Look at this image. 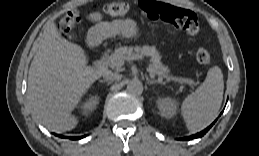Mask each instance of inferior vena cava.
I'll list each match as a JSON object with an SVG mask.
<instances>
[{
    "label": "inferior vena cava",
    "instance_id": "obj_1",
    "mask_svg": "<svg viewBox=\"0 0 259 156\" xmlns=\"http://www.w3.org/2000/svg\"><path fill=\"white\" fill-rule=\"evenodd\" d=\"M103 77L106 80L109 81H115V80H120L122 78V75L117 73V72H111V71H107L103 74Z\"/></svg>",
    "mask_w": 259,
    "mask_h": 156
}]
</instances>
